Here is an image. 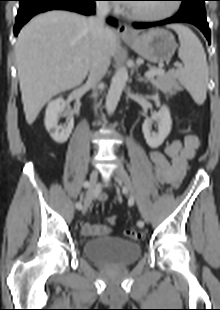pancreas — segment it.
<instances>
[{"label":"pancreas","instance_id":"pancreas-1","mask_svg":"<svg viewBox=\"0 0 220 310\" xmlns=\"http://www.w3.org/2000/svg\"><path fill=\"white\" fill-rule=\"evenodd\" d=\"M156 68L150 67V70H155ZM156 89L162 91L164 94L172 95L174 91L178 88V83L176 81V75L174 71H169L161 75H155L148 79Z\"/></svg>","mask_w":220,"mask_h":310}]
</instances>
